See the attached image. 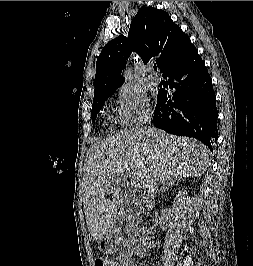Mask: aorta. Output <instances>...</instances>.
<instances>
[{"instance_id": "obj_1", "label": "aorta", "mask_w": 253, "mask_h": 266, "mask_svg": "<svg viewBox=\"0 0 253 266\" xmlns=\"http://www.w3.org/2000/svg\"><path fill=\"white\" fill-rule=\"evenodd\" d=\"M123 76L125 77L126 80L131 81L132 80V77H133L131 68H127L124 71Z\"/></svg>"}]
</instances>
